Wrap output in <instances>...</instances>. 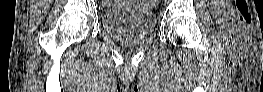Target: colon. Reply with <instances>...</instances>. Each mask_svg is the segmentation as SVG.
I'll return each mask as SVG.
<instances>
[{"label":"colon","instance_id":"colon-1","mask_svg":"<svg viewBox=\"0 0 263 92\" xmlns=\"http://www.w3.org/2000/svg\"><path fill=\"white\" fill-rule=\"evenodd\" d=\"M145 2L152 3V2H154V1H145Z\"/></svg>","mask_w":263,"mask_h":92}]
</instances>
